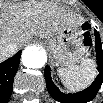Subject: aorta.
I'll return each mask as SVG.
<instances>
[{"instance_id": "762f6f07", "label": "aorta", "mask_w": 103, "mask_h": 103, "mask_svg": "<svg viewBox=\"0 0 103 103\" xmlns=\"http://www.w3.org/2000/svg\"><path fill=\"white\" fill-rule=\"evenodd\" d=\"M21 61L27 68H41L47 61V55L43 48L28 46L22 52Z\"/></svg>"}]
</instances>
